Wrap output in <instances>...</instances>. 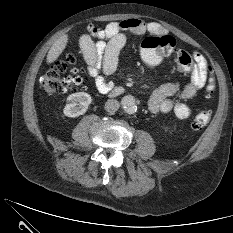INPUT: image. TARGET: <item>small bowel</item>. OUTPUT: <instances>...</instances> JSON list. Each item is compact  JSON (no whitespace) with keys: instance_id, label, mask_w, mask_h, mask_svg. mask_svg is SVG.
Instances as JSON below:
<instances>
[{"instance_id":"small-bowel-1","label":"small bowel","mask_w":233,"mask_h":233,"mask_svg":"<svg viewBox=\"0 0 233 233\" xmlns=\"http://www.w3.org/2000/svg\"><path fill=\"white\" fill-rule=\"evenodd\" d=\"M88 34L79 40L88 67V75L96 89L101 93H108L113 83L108 80L118 66V57L127 42L128 35L140 36L146 32L158 33L162 27L157 22L146 23L141 19L130 18L108 23L105 27L90 24ZM93 38L97 41L94 42ZM193 69L189 81L168 82L159 86L151 94L148 108L152 113H173L179 119L190 117L192 110L183 101H175L174 96L181 99L193 98L197 91L207 82L208 63L199 52H193Z\"/></svg>"}]
</instances>
